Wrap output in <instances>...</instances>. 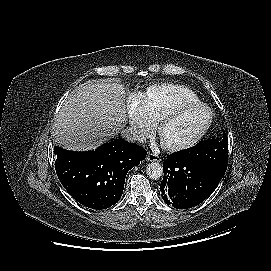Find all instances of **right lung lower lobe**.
Here are the masks:
<instances>
[{
	"label": "right lung lower lobe",
	"instance_id": "right-lung-lower-lobe-1",
	"mask_svg": "<svg viewBox=\"0 0 271 271\" xmlns=\"http://www.w3.org/2000/svg\"><path fill=\"white\" fill-rule=\"evenodd\" d=\"M54 154L57 176L67 192L86 207L106 209L120 200L127 172L147 151L115 139L87 152L55 147Z\"/></svg>",
	"mask_w": 271,
	"mask_h": 271
}]
</instances>
